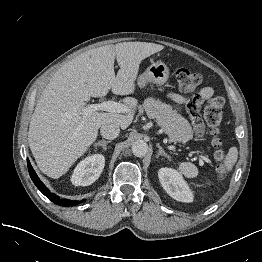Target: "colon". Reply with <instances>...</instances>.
I'll return each instance as SVG.
<instances>
[{
	"label": "colon",
	"mask_w": 262,
	"mask_h": 262,
	"mask_svg": "<svg viewBox=\"0 0 262 262\" xmlns=\"http://www.w3.org/2000/svg\"><path fill=\"white\" fill-rule=\"evenodd\" d=\"M176 80L179 86V89L182 92H191L198 88L202 82L201 75L198 72H194L188 69H178L176 71ZM223 108H224V98L221 96H215L211 98L203 111V118L209 128V131L213 138V144L216 147H219L221 141L216 136L218 135L223 118ZM189 113L193 116L198 115V108L194 103H190L188 106ZM224 158L225 153L218 149L216 151V159L218 161L217 171L220 175L224 172Z\"/></svg>",
	"instance_id": "5ec220e1"
}]
</instances>
